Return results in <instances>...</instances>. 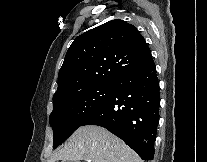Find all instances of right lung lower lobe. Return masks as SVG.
I'll return each mask as SVG.
<instances>
[{"mask_svg": "<svg viewBox=\"0 0 207 162\" xmlns=\"http://www.w3.org/2000/svg\"><path fill=\"white\" fill-rule=\"evenodd\" d=\"M109 99L83 124L98 125L124 140L143 160H153L160 94L153 59L114 83Z\"/></svg>", "mask_w": 207, "mask_h": 162, "instance_id": "1", "label": "right lung lower lobe"}]
</instances>
